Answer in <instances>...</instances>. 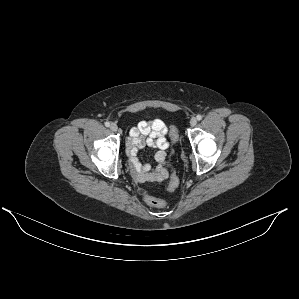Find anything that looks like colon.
Returning <instances> with one entry per match:
<instances>
[{
	"mask_svg": "<svg viewBox=\"0 0 299 299\" xmlns=\"http://www.w3.org/2000/svg\"><path fill=\"white\" fill-rule=\"evenodd\" d=\"M170 136H171L172 141H175L177 139V131H176L175 127L171 128ZM178 184H179L178 178L176 177L175 174H172L170 183H169L168 188H167L168 191L173 192L178 187ZM145 202L149 206L154 207V208H158V209H163V208L167 207V203L164 200L159 199L157 197H154L150 194H147L145 196Z\"/></svg>",
	"mask_w": 299,
	"mask_h": 299,
	"instance_id": "5ec220e1",
	"label": "colon"
}]
</instances>
